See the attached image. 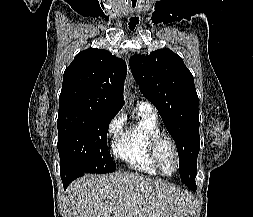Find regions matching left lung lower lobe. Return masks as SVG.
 <instances>
[{"label": "left lung lower lobe", "mask_w": 253, "mask_h": 217, "mask_svg": "<svg viewBox=\"0 0 253 217\" xmlns=\"http://www.w3.org/2000/svg\"><path fill=\"white\" fill-rule=\"evenodd\" d=\"M190 189H192V190H196V185H195V186H193V187H190Z\"/></svg>", "instance_id": "0a47b994"}]
</instances>
